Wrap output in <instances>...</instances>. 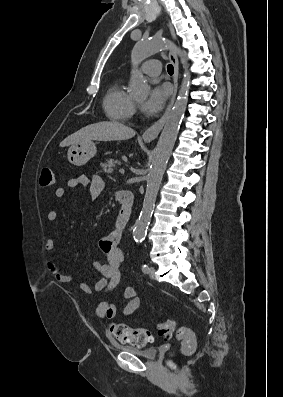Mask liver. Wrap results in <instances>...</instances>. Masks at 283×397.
Here are the masks:
<instances>
[{"label": "liver", "mask_w": 283, "mask_h": 397, "mask_svg": "<svg viewBox=\"0 0 283 397\" xmlns=\"http://www.w3.org/2000/svg\"><path fill=\"white\" fill-rule=\"evenodd\" d=\"M135 130L116 121H102L87 125L60 142L66 147L85 141H118L134 137Z\"/></svg>", "instance_id": "obj_1"}]
</instances>
